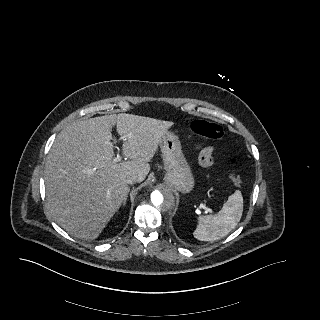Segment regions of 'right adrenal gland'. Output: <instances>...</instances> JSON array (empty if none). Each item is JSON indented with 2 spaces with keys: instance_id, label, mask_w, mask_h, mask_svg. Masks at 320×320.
<instances>
[{
  "instance_id": "obj_1",
  "label": "right adrenal gland",
  "mask_w": 320,
  "mask_h": 320,
  "mask_svg": "<svg viewBox=\"0 0 320 320\" xmlns=\"http://www.w3.org/2000/svg\"><path fill=\"white\" fill-rule=\"evenodd\" d=\"M126 201H127V197L125 198L124 202H123V206L126 205Z\"/></svg>"
}]
</instances>
